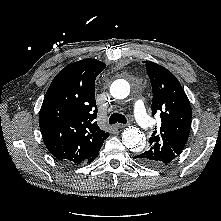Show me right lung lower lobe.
Returning <instances> with one entry per match:
<instances>
[{"mask_svg": "<svg viewBox=\"0 0 221 221\" xmlns=\"http://www.w3.org/2000/svg\"><path fill=\"white\" fill-rule=\"evenodd\" d=\"M97 156H98V153L92 156L87 162H92Z\"/></svg>", "mask_w": 221, "mask_h": 221, "instance_id": "1", "label": "right lung lower lobe"}]
</instances>
